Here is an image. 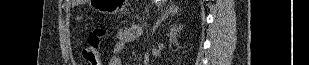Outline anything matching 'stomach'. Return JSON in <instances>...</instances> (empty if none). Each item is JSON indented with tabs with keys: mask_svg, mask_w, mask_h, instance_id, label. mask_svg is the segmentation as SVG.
I'll return each mask as SVG.
<instances>
[{
	"mask_svg": "<svg viewBox=\"0 0 309 65\" xmlns=\"http://www.w3.org/2000/svg\"><path fill=\"white\" fill-rule=\"evenodd\" d=\"M92 2L97 5V11L103 14H118L125 10L127 0H98Z\"/></svg>",
	"mask_w": 309,
	"mask_h": 65,
	"instance_id": "obj_1",
	"label": "stomach"
}]
</instances>
